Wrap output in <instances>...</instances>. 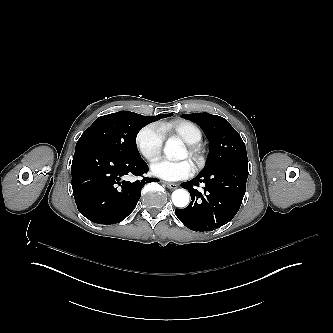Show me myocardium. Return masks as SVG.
I'll list each match as a JSON object with an SVG mask.
<instances>
[{
  "label": "myocardium",
  "instance_id": "obj_1",
  "mask_svg": "<svg viewBox=\"0 0 333 333\" xmlns=\"http://www.w3.org/2000/svg\"><path fill=\"white\" fill-rule=\"evenodd\" d=\"M189 159L195 164L197 168H200L205 163L204 150L201 144H188L187 146Z\"/></svg>",
  "mask_w": 333,
  "mask_h": 333
}]
</instances>
